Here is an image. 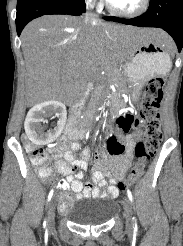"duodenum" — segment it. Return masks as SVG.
Listing matches in <instances>:
<instances>
[{
  "instance_id": "obj_1",
  "label": "duodenum",
  "mask_w": 183,
  "mask_h": 246,
  "mask_svg": "<svg viewBox=\"0 0 183 246\" xmlns=\"http://www.w3.org/2000/svg\"><path fill=\"white\" fill-rule=\"evenodd\" d=\"M75 109H80L81 105L80 104H75L74 105ZM65 133L68 135L70 138H81L82 134L79 133L76 120L74 117L70 118V120L67 122L66 127H65Z\"/></svg>"
}]
</instances>
